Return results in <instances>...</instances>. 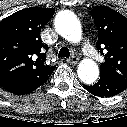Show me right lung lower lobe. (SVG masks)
Segmentation results:
<instances>
[{
  "label": "right lung lower lobe",
  "mask_w": 127,
  "mask_h": 127,
  "mask_svg": "<svg viewBox=\"0 0 127 127\" xmlns=\"http://www.w3.org/2000/svg\"><path fill=\"white\" fill-rule=\"evenodd\" d=\"M51 74L52 72L42 79H31L23 77L8 79L1 81L0 86L10 93L16 95H25L43 85L48 80Z\"/></svg>",
  "instance_id": "1"
}]
</instances>
